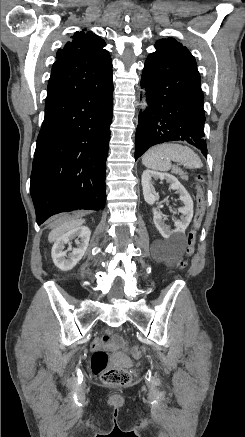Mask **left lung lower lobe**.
I'll return each instance as SVG.
<instances>
[{
	"label": "left lung lower lobe",
	"mask_w": 245,
	"mask_h": 437,
	"mask_svg": "<svg viewBox=\"0 0 245 437\" xmlns=\"http://www.w3.org/2000/svg\"><path fill=\"white\" fill-rule=\"evenodd\" d=\"M155 48L141 77L148 108L139 114L135 160L148 148L168 141L188 142L206 157L204 96L196 61L172 46Z\"/></svg>",
	"instance_id": "left-lung-lower-lobe-1"
}]
</instances>
